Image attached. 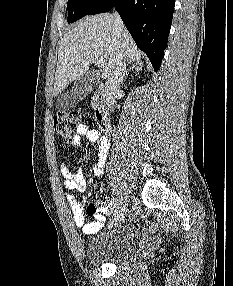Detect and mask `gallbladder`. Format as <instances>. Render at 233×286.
<instances>
[{
    "instance_id": "1",
    "label": "gallbladder",
    "mask_w": 233,
    "mask_h": 286,
    "mask_svg": "<svg viewBox=\"0 0 233 286\" xmlns=\"http://www.w3.org/2000/svg\"><path fill=\"white\" fill-rule=\"evenodd\" d=\"M97 84L96 75L92 72H86L76 79L69 91L61 94L56 100V107L61 111L71 109L83 100L87 94Z\"/></svg>"
}]
</instances>
